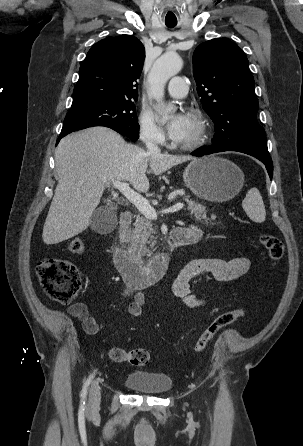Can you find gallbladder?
I'll list each match as a JSON object with an SVG mask.
<instances>
[{"label":"gallbladder","instance_id":"gallbladder-1","mask_svg":"<svg viewBox=\"0 0 303 446\" xmlns=\"http://www.w3.org/2000/svg\"><path fill=\"white\" fill-rule=\"evenodd\" d=\"M116 221L113 210L100 207L92 214L91 228L98 233H105L114 227Z\"/></svg>","mask_w":303,"mask_h":446}]
</instances>
